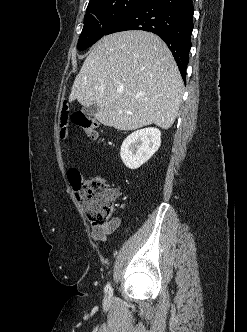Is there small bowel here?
Instances as JSON below:
<instances>
[{
  "label": "small bowel",
  "instance_id": "obj_1",
  "mask_svg": "<svg viewBox=\"0 0 247 332\" xmlns=\"http://www.w3.org/2000/svg\"><path fill=\"white\" fill-rule=\"evenodd\" d=\"M113 191L115 196H117L118 191ZM119 224V219L114 218L104 225H94L92 227V236L97 241H104L109 234L113 233L118 228Z\"/></svg>",
  "mask_w": 247,
  "mask_h": 332
}]
</instances>
